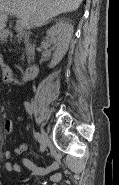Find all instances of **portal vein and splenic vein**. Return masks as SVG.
Here are the masks:
<instances>
[{"label":"portal vein and splenic vein","instance_id":"1","mask_svg":"<svg viewBox=\"0 0 119 185\" xmlns=\"http://www.w3.org/2000/svg\"><path fill=\"white\" fill-rule=\"evenodd\" d=\"M16 29H17L18 31H22V29H23V24H22V23H18V24L16 25Z\"/></svg>","mask_w":119,"mask_h":185}]
</instances>
